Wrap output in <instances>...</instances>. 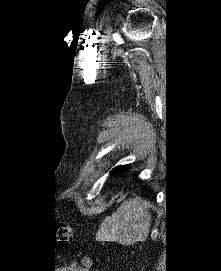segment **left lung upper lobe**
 <instances>
[{
    "label": "left lung upper lobe",
    "mask_w": 221,
    "mask_h": 271,
    "mask_svg": "<svg viewBox=\"0 0 221 271\" xmlns=\"http://www.w3.org/2000/svg\"><path fill=\"white\" fill-rule=\"evenodd\" d=\"M129 169V167L127 166V165H125V166H119V167H116V168H114L111 172H110V174L111 175H118V174H122V173H124L126 170H128Z\"/></svg>",
    "instance_id": "1"
}]
</instances>
